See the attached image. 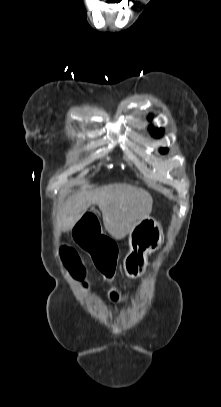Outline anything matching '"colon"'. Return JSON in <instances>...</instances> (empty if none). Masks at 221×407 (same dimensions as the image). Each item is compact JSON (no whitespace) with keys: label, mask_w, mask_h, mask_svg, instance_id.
<instances>
[{"label":"colon","mask_w":221,"mask_h":407,"mask_svg":"<svg viewBox=\"0 0 221 407\" xmlns=\"http://www.w3.org/2000/svg\"><path fill=\"white\" fill-rule=\"evenodd\" d=\"M99 223V216H93L92 211H87L86 216H81L75 230H72L71 237L78 239L79 244L90 252L97 269L106 278H111L116 268L117 253L113 241L103 236ZM64 257L75 277L83 279L85 270L75 251L65 248ZM112 297L110 303L113 306L124 303V300H119L121 294L118 291H115Z\"/></svg>","instance_id":"1"}]
</instances>
